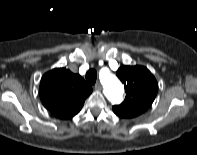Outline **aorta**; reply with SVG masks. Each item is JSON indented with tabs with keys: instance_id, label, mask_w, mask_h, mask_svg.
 Wrapping results in <instances>:
<instances>
[{
	"instance_id": "aorta-1",
	"label": "aorta",
	"mask_w": 197,
	"mask_h": 155,
	"mask_svg": "<svg viewBox=\"0 0 197 155\" xmlns=\"http://www.w3.org/2000/svg\"><path fill=\"white\" fill-rule=\"evenodd\" d=\"M102 83L106 97L112 103H119L122 100L124 89L117 77L108 73L102 76Z\"/></svg>"
}]
</instances>
